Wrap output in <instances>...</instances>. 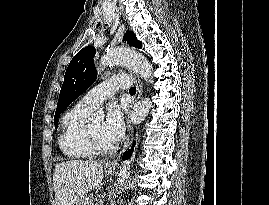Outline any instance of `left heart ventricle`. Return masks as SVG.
<instances>
[{
  "label": "left heart ventricle",
  "mask_w": 269,
  "mask_h": 205,
  "mask_svg": "<svg viewBox=\"0 0 269 205\" xmlns=\"http://www.w3.org/2000/svg\"><path fill=\"white\" fill-rule=\"evenodd\" d=\"M102 122L95 123L91 126H89L90 132L93 134V136L96 138V140L101 144L103 147H111L113 144L108 142L102 135Z\"/></svg>",
  "instance_id": "left-heart-ventricle-1"
}]
</instances>
